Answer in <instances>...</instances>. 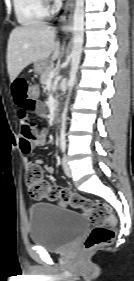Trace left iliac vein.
I'll use <instances>...</instances> for the list:
<instances>
[{"instance_id":"left-iliac-vein-1","label":"left iliac vein","mask_w":134,"mask_h":281,"mask_svg":"<svg viewBox=\"0 0 134 281\" xmlns=\"http://www.w3.org/2000/svg\"><path fill=\"white\" fill-rule=\"evenodd\" d=\"M62 164H63V169H64L65 174L68 177H72V171H71V168L68 164V158H67L66 155H64V157H63Z\"/></svg>"}]
</instances>
